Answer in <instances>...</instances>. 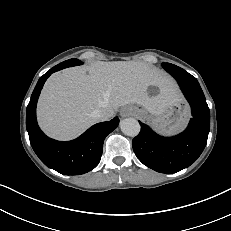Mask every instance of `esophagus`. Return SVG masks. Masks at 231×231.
<instances>
[{
    "label": "esophagus",
    "mask_w": 231,
    "mask_h": 231,
    "mask_svg": "<svg viewBox=\"0 0 231 231\" xmlns=\"http://www.w3.org/2000/svg\"><path fill=\"white\" fill-rule=\"evenodd\" d=\"M120 114L122 117H128L132 115V110L128 107H124L120 110Z\"/></svg>",
    "instance_id": "34e87169"
}]
</instances>
